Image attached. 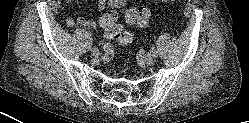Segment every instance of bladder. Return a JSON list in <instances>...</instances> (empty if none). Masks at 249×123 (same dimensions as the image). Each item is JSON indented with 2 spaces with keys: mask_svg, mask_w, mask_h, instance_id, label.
I'll use <instances>...</instances> for the list:
<instances>
[{
  "mask_svg": "<svg viewBox=\"0 0 249 123\" xmlns=\"http://www.w3.org/2000/svg\"><path fill=\"white\" fill-rule=\"evenodd\" d=\"M127 0H107V6L110 9L121 11L125 8Z\"/></svg>",
  "mask_w": 249,
  "mask_h": 123,
  "instance_id": "31cf9c89",
  "label": "bladder"
}]
</instances>
